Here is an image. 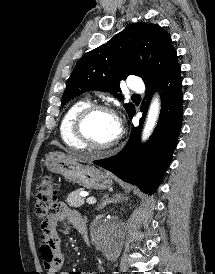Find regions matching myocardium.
I'll use <instances>...</instances> for the list:
<instances>
[{"label": "myocardium", "mask_w": 215, "mask_h": 274, "mask_svg": "<svg viewBox=\"0 0 215 274\" xmlns=\"http://www.w3.org/2000/svg\"><path fill=\"white\" fill-rule=\"evenodd\" d=\"M97 112H106L113 115L116 118V113L111 107L104 104H89L84 109H82L76 116L73 126L74 134L76 138L79 140V142L83 144L86 148L95 151H106L114 147L119 142L122 130L120 128L117 137L107 144L95 143L87 133L86 124L88 120Z\"/></svg>", "instance_id": "obj_1"}]
</instances>
